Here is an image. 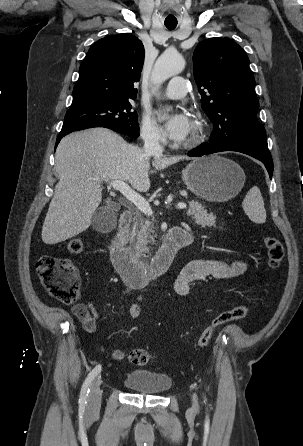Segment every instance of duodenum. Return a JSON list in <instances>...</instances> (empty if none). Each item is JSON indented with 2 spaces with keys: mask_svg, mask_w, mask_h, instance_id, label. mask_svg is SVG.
Instances as JSON below:
<instances>
[{
  "mask_svg": "<svg viewBox=\"0 0 303 446\" xmlns=\"http://www.w3.org/2000/svg\"><path fill=\"white\" fill-rule=\"evenodd\" d=\"M132 218L130 211L121 213L118 233L110 243L109 251L111 261L126 285L139 288L167 272L179 250L192 243L193 238L183 228L173 227L163 237L155 255L149 260H143L127 252L121 242V237L130 226Z\"/></svg>",
  "mask_w": 303,
  "mask_h": 446,
  "instance_id": "1",
  "label": "duodenum"
}]
</instances>
